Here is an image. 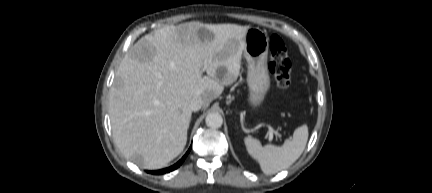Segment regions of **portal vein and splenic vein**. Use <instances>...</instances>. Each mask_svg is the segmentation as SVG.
I'll return each instance as SVG.
<instances>
[{
	"label": "portal vein and splenic vein",
	"instance_id": "portal-vein-and-splenic-vein-1",
	"mask_svg": "<svg viewBox=\"0 0 432 193\" xmlns=\"http://www.w3.org/2000/svg\"><path fill=\"white\" fill-rule=\"evenodd\" d=\"M268 129H269V134H270V136H269V139L271 140L272 139V136H273V133H275V134H277V135H280L277 131H275L270 125H268Z\"/></svg>",
	"mask_w": 432,
	"mask_h": 193
}]
</instances>
